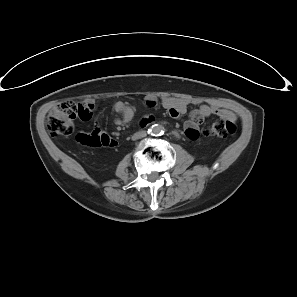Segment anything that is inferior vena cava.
Listing matches in <instances>:
<instances>
[{
  "mask_svg": "<svg viewBox=\"0 0 297 297\" xmlns=\"http://www.w3.org/2000/svg\"><path fill=\"white\" fill-rule=\"evenodd\" d=\"M146 136V132L145 131H140L134 134L135 138H143Z\"/></svg>",
  "mask_w": 297,
  "mask_h": 297,
  "instance_id": "inferior-vena-cava-1",
  "label": "inferior vena cava"
}]
</instances>
